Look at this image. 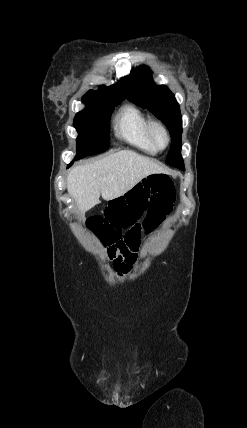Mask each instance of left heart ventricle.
<instances>
[{
    "label": "left heart ventricle",
    "instance_id": "1",
    "mask_svg": "<svg viewBox=\"0 0 247 428\" xmlns=\"http://www.w3.org/2000/svg\"><path fill=\"white\" fill-rule=\"evenodd\" d=\"M156 138H157V141H158L161 145H163V144L165 143V137H164V135H163L161 132H157V133H156Z\"/></svg>",
    "mask_w": 247,
    "mask_h": 428
}]
</instances>
